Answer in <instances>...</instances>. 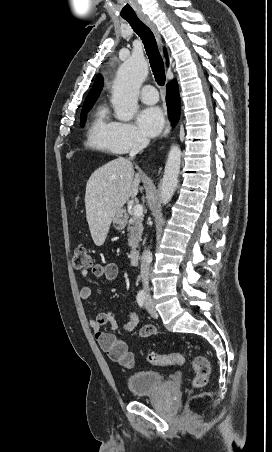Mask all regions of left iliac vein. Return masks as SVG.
<instances>
[{
    "label": "left iliac vein",
    "mask_w": 272,
    "mask_h": 452,
    "mask_svg": "<svg viewBox=\"0 0 272 452\" xmlns=\"http://www.w3.org/2000/svg\"><path fill=\"white\" fill-rule=\"evenodd\" d=\"M146 306H147V310H148L149 314L152 317L157 318V312L154 309V306H153L152 302L151 301L147 302Z\"/></svg>",
    "instance_id": "obj_1"
}]
</instances>
